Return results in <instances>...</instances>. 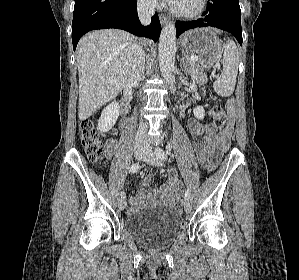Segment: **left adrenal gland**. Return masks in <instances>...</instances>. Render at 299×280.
Wrapping results in <instances>:
<instances>
[{
  "mask_svg": "<svg viewBox=\"0 0 299 280\" xmlns=\"http://www.w3.org/2000/svg\"><path fill=\"white\" fill-rule=\"evenodd\" d=\"M186 63H187L186 54L183 53L180 66H181L182 69H184V71H188Z\"/></svg>",
  "mask_w": 299,
  "mask_h": 280,
  "instance_id": "a2214340",
  "label": "left adrenal gland"
}]
</instances>
